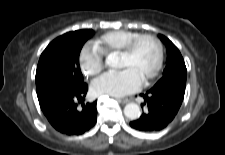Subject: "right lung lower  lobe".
I'll list each match as a JSON object with an SVG mask.
<instances>
[{
	"label": "right lung lower lobe",
	"mask_w": 225,
	"mask_h": 155,
	"mask_svg": "<svg viewBox=\"0 0 225 155\" xmlns=\"http://www.w3.org/2000/svg\"><path fill=\"white\" fill-rule=\"evenodd\" d=\"M87 90L85 83L64 85L39 100L41 110L56 130L67 135H80L95 125L96 101L84 103Z\"/></svg>",
	"instance_id": "right-lung-lower-lobe-1"
}]
</instances>
